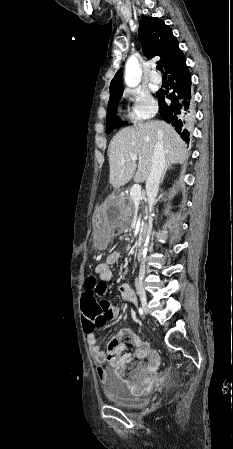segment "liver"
<instances>
[{
    "label": "liver",
    "mask_w": 233,
    "mask_h": 449,
    "mask_svg": "<svg viewBox=\"0 0 233 449\" xmlns=\"http://www.w3.org/2000/svg\"><path fill=\"white\" fill-rule=\"evenodd\" d=\"M162 140L166 163H182L188 158V149L174 128L164 121H149L121 129L108 147L110 175L113 188L126 184L132 177L137 182L147 180L155 145ZM135 154L136 161L130 159ZM125 159L124 164L121 160ZM137 169V171H136Z\"/></svg>",
    "instance_id": "obj_1"
}]
</instances>
